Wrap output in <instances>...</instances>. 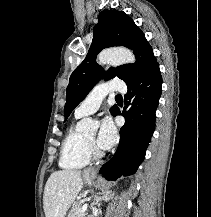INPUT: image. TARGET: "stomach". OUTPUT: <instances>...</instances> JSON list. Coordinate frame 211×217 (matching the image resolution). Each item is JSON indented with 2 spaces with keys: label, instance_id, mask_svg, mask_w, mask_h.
Listing matches in <instances>:
<instances>
[{
  "label": "stomach",
  "instance_id": "obj_1",
  "mask_svg": "<svg viewBox=\"0 0 211 217\" xmlns=\"http://www.w3.org/2000/svg\"><path fill=\"white\" fill-rule=\"evenodd\" d=\"M95 178H96V174L94 172H91V173L85 172L84 173V180L87 184H92L93 181L95 180Z\"/></svg>",
  "mask_w": 211,
  "mask_h": 217
}]
</instances>
